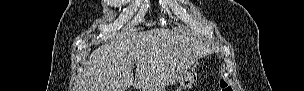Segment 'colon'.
Returning <instances> with one entry per match:
<instances>
[{
    "label": "colon",
    "instance_id": "colon-1",
    "mask_svg": "<svg viewBox=\"0 0 304 91\" xmlns=\"http://www.w3.org/2000/svg\"><path fill=\"white\" fill-rule=\"evenodd\" d=\"M220 90L221 91H231V87L228 86V84L224 81L220 82Z\"/></svg>",
    "mask_w": 304,
    "mask_h": 91
}]
</instances>
